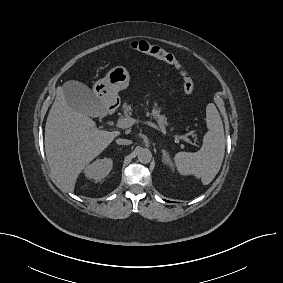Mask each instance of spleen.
Segmentation results:
<instances>
[{"label": "spleen", "instance_id": "spleen-1", "mask_svg": "<svg viewBox=\"0 0 283 283\" xmlns=\"http://www.w3.org/2000/svg\"><path fill=\"white\" fill-rule=\"evenodd\" d=\"M208 132L203 137L199 151L179 152L174 157L177 171L181 175H194L209 184L219 172L225 153V137L220 114L213 103L206 107Z\"/></svg>", "mask_w": 283, "mask_h": 283}]
</instances>
